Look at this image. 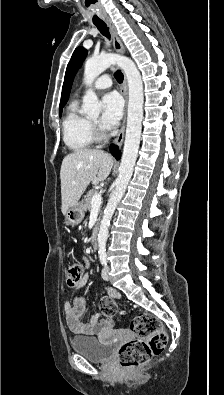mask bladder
<instances>
[{"label": "bladder", "mask_w": 224, "mask_h": 395, "mask_svg": "<svg viewBox=\"0 0 224 395\" xmlns=\"http://www.w3.org/2000/svg\"><path fill=\"white\" fill-rule=\"evenodd\" d=\"M71 347L91 362H106L113 355V342H103L98 337L75 336L71 339Z\"/></svg>", "instance_id": "31cf9c89"}]
</instances>
